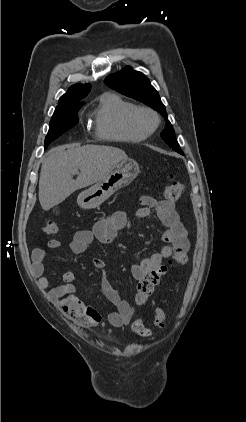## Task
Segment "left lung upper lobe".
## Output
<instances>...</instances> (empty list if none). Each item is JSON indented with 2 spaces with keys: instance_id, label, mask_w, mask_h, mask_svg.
<instances>
[{
  "instance_id": "left-lung-upper-lobe-1",
  "label": "left lung upper lobe",
  "mask_w": 246,
  "mask_h": 422,
  "mask_svg": "<svg viewBox=\"0 0 246 422\" xmlns=\"http://www.w3.org/2000/svg\"><path fill=\"white\" fill-rule=\"evenodd\" d=\"M105 83L119 93L150 106L161 113L165 120L168 119L165 106L161 102L158 92L143 73L134 71L127 66L122 71L109 75L105 79ZM161 138L176 152L183 154L169 121H167L165 129L161 133Z\"/></svg>"
}]
</instances>
